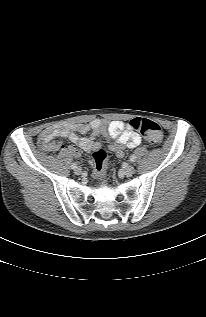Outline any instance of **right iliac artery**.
Returning a JSON list of instances; mask_svg holds the SVG:
<instances>
[{"instance_id":"right-iliac-artery-1","label":"right iliac artery","mask_w":206,"mask_h":317,"mask_svg":"<svg viewBox=\"0 0 206 317\" xmlns=\"http://www.w3.org/2000/svg\"><path fill=\"white\" fill-rule=\"evenodd\" d=\"M71 168H72V169H76V168H77V164L72 163V164H71Z\"/></svg>"}]
</instances>
